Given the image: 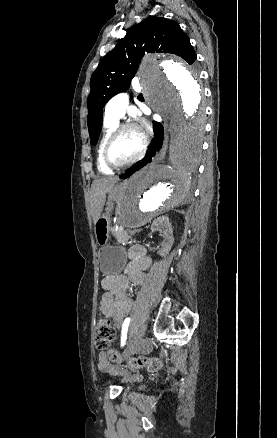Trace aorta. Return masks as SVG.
<instances>
[{
	"label": "aorta",
	"mask_w": 277,
	"mask_h": 438,
	"mask_svg": "<svg viewBox=\"0 0 277 438\" xmlns=\"http://www.w3.org/2000/svg\"><path fill=\"white\" fill-rule=\"evenodd\" d=\"M139 78L150 106L169 120L171 164L149 165L129 179L118 203L119 220L127 228L140 227L186 199L204 130L202 87L192 66L146 57Z\"/></svg>",
	"instance_id": "aorta-1"
}]
</instances>
